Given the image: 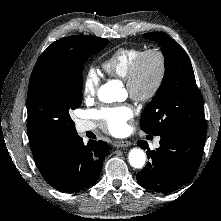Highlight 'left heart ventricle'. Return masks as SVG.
Returning <instances> with one entry per match:
<instances>
[{
  "label": "left heart ventricle",
  "mask_w": 221,
  "mask_h": 221,
  "mask_svg": "<svg viewBox=\"0 0 221 221\" xmlns=\"http://www.w3.org/2000/svg\"><path fill=\"white\" fill-rule=\"evenodd\" d=\"M158 72V65L155 58L150 57L146 60L141 78L140 87L144 90L148 89L154 82Z\"/></svg>",
  "instance_id": "b2bd125f"
}]
</instances>
